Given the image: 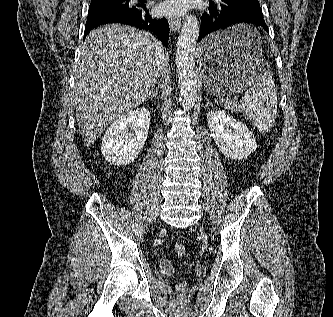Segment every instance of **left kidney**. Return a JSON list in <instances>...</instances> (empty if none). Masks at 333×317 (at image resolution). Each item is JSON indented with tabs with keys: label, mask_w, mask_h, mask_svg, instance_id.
Returning <instances> with one entry per match:
<instances>
[{
	"label": "left kidney",
	"mask_w": 333,
	"mask_h": 317,
	"mask_svg": "<svg viewBox=\"0 0 333 317\" xmlns=\"http://www.w3.org/2000/svg\"><path fill=\"white\" fill-rule=\"evenodd\" d=\"M211 136L222 154L230 159H244L257 148L252 132L223 110L207 114Z\"/></svg>",
	"instance_id": "left-kidney-1"
}]
</instances>
